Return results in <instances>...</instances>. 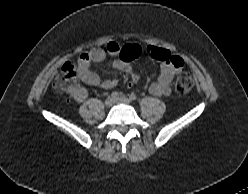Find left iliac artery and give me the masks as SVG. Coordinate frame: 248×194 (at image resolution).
<instances>
[{
  "instance_id": "44dca946",
  "label": "left iliac artery",
  "mask_w": 248,
  "mask_h": 194,
  "mask_svg": "<svg viewBox=\"0 0 248 194\" xmlns=\"http://www.w3.org/2000/svg\"><path fill=\"white\" fill-rule=\"evenodd\" d=\"M129 98H130L131 101H135L137 99V96H136V94L131 93Z\"/></svg>"
}]
</instances>
